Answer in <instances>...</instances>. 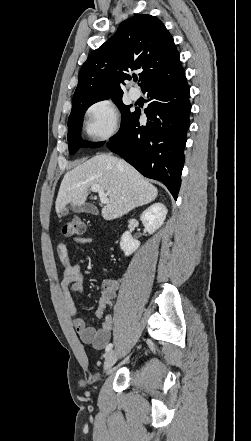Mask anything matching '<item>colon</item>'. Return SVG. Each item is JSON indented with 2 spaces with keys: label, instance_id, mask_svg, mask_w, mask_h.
Returning a JSON list of instances; mask_svg holds the SVG:
<instances>
[{
  "label": "colon",
  "instance_id": "1",
  "mask_svg": "<svg viewBox=\"0 0 251 441\" xmlns=\"http://www.w3.org/2000/svg\"><path fill=\"white\" fill-rule=\"evenodd\" d=\"M86 232V226L84 222L78 218L73 217L65 222L60 229V233L64 237H81Z\"/></svg>",
  "mask_w": 251,
  "mask_h": 441
}]
</instances>
